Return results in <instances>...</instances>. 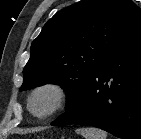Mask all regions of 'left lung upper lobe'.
<instances>
[{
  "label": "left lung upper lobe",
  "mask_w": 141,
  "mask_h": 139,
  "mask_svg": "<svg viewBox=\"0 0 141 139\" xmlns=\"http://www.w3.org/2000/svg\"><path fill=\"white\" fill-rule=\"evenodd\" d=\"M140 29L141 9L132 0H82L62 9L32 42L20 90L59 84L68 109L92 71Z\"/></svg>",
  "instance_id": "obj_1"
}]
</instances>
